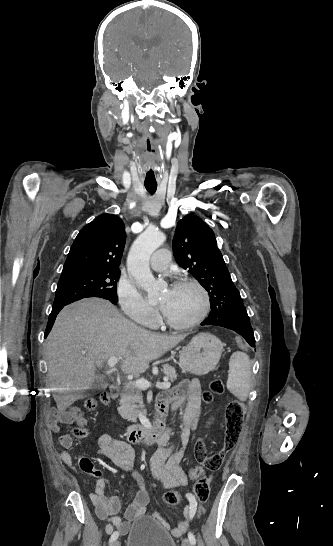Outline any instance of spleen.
Wrapping results in <instances>:
<instances>
[{
	"label": "spleen",
	"mask_w": 333,
	"mask_h": 546,
	"mask_svg": "<svg viewBox=\"0 0 333 546\" xmlns=\"http://www.w3.org/2000/svg\"><path fill=\"white\" fill-rule=\"evenodd\" d=\"M227 388L241 401L248 397L251 388V365L244 352H234L230 357Z\"/></svg>",
	"instance_id": "1"
}]
</instances>
